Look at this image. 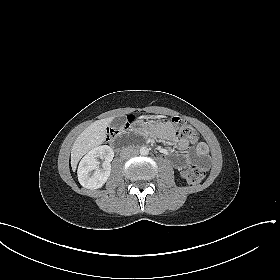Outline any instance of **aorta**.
Wrapping results in <instances>:
<instances>
[{"mask_svg":"<svg viewBox=\"0 0 280 280\" xmlns=\"http://www.w3.org/2000/svg\"><path fill=\"white\" fill-rule=\"evenodd\" d=\"M140 154L143 156H146L149 154V149L147 147H141L140 148Z\"/></svg>","mask_w":280,"mask_h":280,"instance_id":"aorta-1","label":"aorta"}]
</instances>
